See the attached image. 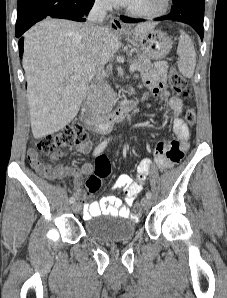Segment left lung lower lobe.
<instances>
[{"mask_svg": "<svg viewBox=\"0 0 227 298\" xmlns=\"http://www.w3.org/2000/svg\"><path fill=\"white\" fill-rule=\"evenodd\" d=\"M121 20L125 23L144 21V19L125 16H121ZM155 20H173L186 23L196 30L202 40L204 36V0H173L171 12L166 16L155 18Z\"/></svg>", "mask_w": 227, "mask_h": 298, "instance_id": "0a47b994", "label": "left lung lower lobe"}]
</instances>
